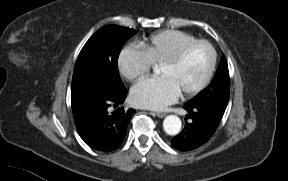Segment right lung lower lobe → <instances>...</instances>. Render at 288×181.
Masks as SVG:
<instances>
[{
    "label": "right lung lower lobe",
    "instance_id": "obj_1",
    "mask_svg": "<svg viewBox=\"0 0 288 181\" xmlns=\"http://www.w3.org/2000/svg\"><path fill=\"white\" fill-rule=\"evenodd\" d=\"M127 95L126 88L116 94L100 96L86 109L82 121L76 125L83 141L93 149L110 152L117 149L124 140L126 128L134 109L119 108L108 113L111 103H123Z\"/></svg>",
    "mask_w": 288,
    "mask_h": 181
}]
</instances>
